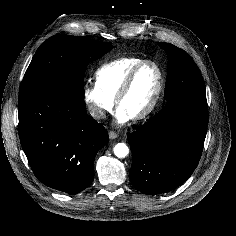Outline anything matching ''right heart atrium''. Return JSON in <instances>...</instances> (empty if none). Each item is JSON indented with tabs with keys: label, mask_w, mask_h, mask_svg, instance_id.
<instances>
[{
	"label": "right heart atrium",
	"mask_w": 236,
	"mask_h": 236,
	"mask_svg": "<svg viewBox=\"0 0 236 236\" xmlns=\"http://www.w3.org/2000/svg\"><path fill=\"white\" fill-rule=\"evenodd\" d=\"M83 98L91 116L103 120L111 112L114 100L109 98L96 82H89L83 89Z\"/></svg>",
	"instance_id": "obj_1"
}]
</instances>
